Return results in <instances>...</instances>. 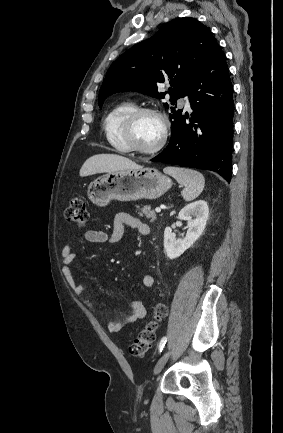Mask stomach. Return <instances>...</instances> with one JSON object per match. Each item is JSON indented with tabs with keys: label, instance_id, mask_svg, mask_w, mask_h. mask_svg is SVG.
Listing matches in <instances>:
<instances>
[{
	"label": "stomach",
	"instance_id": "0dacf381",
	"mask_svg": "<svg viewBox=\"0 0 283 433\" xmlns=\"http://www.w3.org/2000/svg\"><path fill=\"white\" fill-rule=\"evenodd\" d=\"M172 180L161 174L157 168L140 170H118L98 176L90 182L87 196L98 206H106L110 200H139V198H159Z\"/></svg>",
	"mask_w": 283,
	"mask_h": 433
}]
</instances>
